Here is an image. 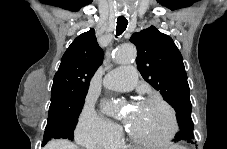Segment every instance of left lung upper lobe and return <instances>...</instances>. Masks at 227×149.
Masks as SVG:
<instances>
[{"label":"left lung upper lobe","mask_w":227,"mask_h":149,"mask_svg":"<svg viewBox=\"0 0 227 149\" xmlns=\"http://www.w3.org/2000/svg\"><path fill=\"white\" fill-rule=\"evenodd\" d=\"M130 41L137 47V68L176 111L180 131L175 140L194 139L191 102L183 58L171 37L154 26L134 33Z\"/></svg>","instance_id":"obj_1"}]
</instances>
